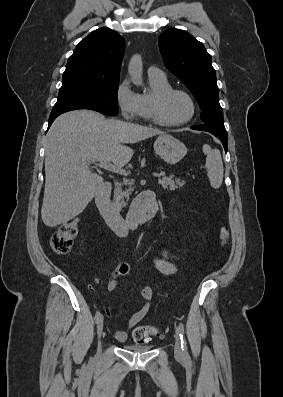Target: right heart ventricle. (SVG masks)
Returning <instances> with one entry per match:
<instances>
[{"label": "right heart ventricle", "instance_id": "obj_1", "mask_svg": "<svg viewBox=\"0 0 283 397\" xmlns=\"http://www.w3.org/2000/svg\"><path fill=\"white\" fill-rule=\"evenodd\" d=\"M150 92L140 95V100L143 108V117L148 120L152 119V102L154 98L162 91L172 88L169 80L164 77H148Z\"/></svg>", "mask_w": 283, "mask_h": 397}]
</instances>
